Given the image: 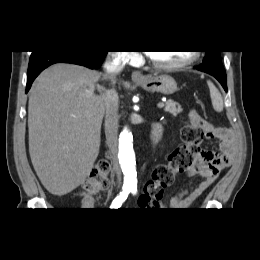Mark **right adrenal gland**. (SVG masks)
<instances>
[{
    "label": "right adrenal gland",
    "mask_w": 260,
    "mask_h": 260,
    "mask_svg": "<svg viewBox=\"0 0 260 260\" xmlns=\"http://www.w3.org/2000/svg\"><path fill=\"white\" fill-rule=\"evenodd\" d=\"M97 89H98V90H102L103 88L100 87L99 85H97Z\"/></svg>",
    "instance_id": "2a0ac1e0"
}]
</instances>
